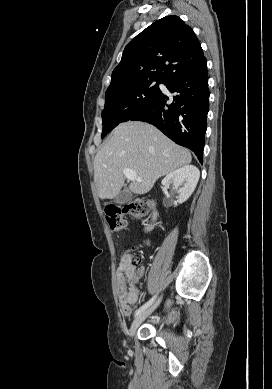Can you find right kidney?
Instances as JSON below:
<instances>
[{"label": "right kidney", "mask_w": 272, "mask_h": 389, "mask_svg": "<svg viewBox=\"0 0 272 389\" xmlns=\"http://www.w3.org/2000/svg\"><path fill=\"white\" fill-rule=\"evenodd\" d=\"M200 177L199 169L194 165L183 166L169 173L162 181V185L167 187L174 184L178 193L179 203H183L192 195ZM182 186V187H181Z\"/></svg>", "instance_id": "ca27d5eb"}]
</instances>
